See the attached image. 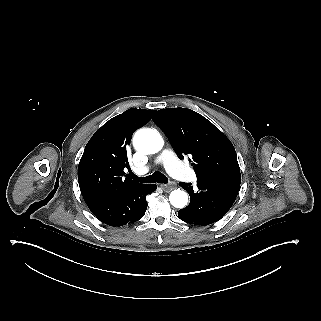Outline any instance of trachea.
Segmentation results:
<instances>
[{
  "mask_svg": "<svg viewBox=\"0 0 321 321\" xmlns=\"http://www.w3.org/2000/svg\"><path fill=\"white\" fill-rule=\"evenodd\" d=\"M129 176L130 178H133L135 181L140 183H168V178L164 174L157 171L147 177H138L132 172L129 174Z\"/></svg>",
  "mask_w": 321,
  "mask_h": 321,
  "instance_id": "obj_1",
  "label": "trachea"
}]
</instances>
